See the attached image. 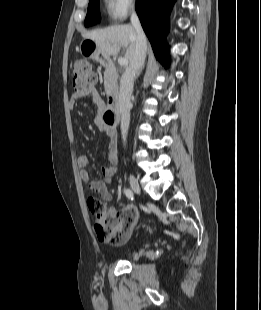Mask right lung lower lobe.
<instances>
[{
  "mask_svg": "<svg viewBox=\"0 0 261 310\" xmlns=\"http://www.w3.org/2000/svg\"><path fill=\"white\" fill-rule=\"evenodd\" d=\"M175 0H137L136 11L142 27L152 45L154 54L166 67L168 45L166 36L169 31V14Z\"/></svg>",
  "mask_w": 261,
  "mask_h": 310,
  "instance_id": "obj_1",
  "label": "right lung lower lobe"
}]
</instances>
